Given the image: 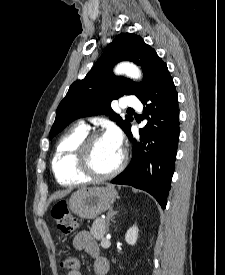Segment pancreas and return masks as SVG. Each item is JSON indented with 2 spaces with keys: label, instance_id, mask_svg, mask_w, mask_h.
I'll return each mask as SVG.
<instances>
[{
  "label": "pancreas",
  "instance_id": "cf45deb5",
  "mask_svg": "<svg viewBox=\"0 0 225 275\" xmlns=\"http://www.w3.org/2000/svg\"><path fill=\"white\" fill-rule=\"evenodd\" d=\"M107 232L105 220L97 218L90 229L91 235L97 239L102 240Z\"/></svg>",
  "mask_w": 225,
  "mask_h": 275
}]
</instances>
